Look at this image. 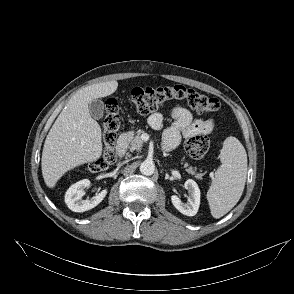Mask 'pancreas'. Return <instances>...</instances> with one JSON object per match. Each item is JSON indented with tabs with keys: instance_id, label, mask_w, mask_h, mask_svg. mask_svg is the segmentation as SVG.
<instances>
[{
	"instance_id": "1",
	"label": "pancreas",
	"mask_w": 294,
	"mask_h": 294,
	"mask_svg": "<svg viewBox=\"0 0 294 294\" xmlns=\"http://www.w3.org/2000/svg\"><path fill=\"white\" fill-rule=\"evenodd\" d=\"M144 133L143 130H138L137 132L131 131L127 133V140L129 143V150L134 151V150H141L143 147L144 141L141 138V135ZM185 167H187L186 171L194 175L196 179H201L203 174L202 173H196V168L193 167H188V164H185Z\"/></svg>"
}]
</instances>
